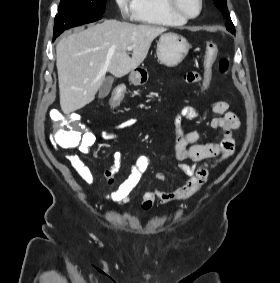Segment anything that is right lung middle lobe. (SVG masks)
Masks as SVG:
<instances>
[{
	"label": "right lung middle lobe",
	"instance_id": "obj_1",
	"mask_svg": "<svg viewBox=\"0 0 280 283\" xmlns=\"http://www.w3.org/2000/svg\"><path fill=\"white\" fill-rule=\"evenodd\" d=\"M106 0H61L54 22V36L71 27L102 18Z\"/></svg>",
	"mask_w": 280,
	"mask_h": 283
}]
</instances>
